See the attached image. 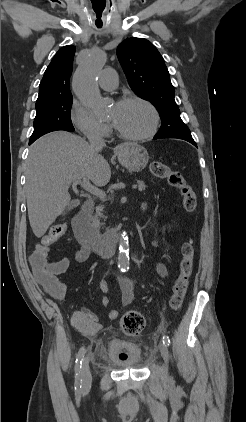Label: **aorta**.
<instances>
[{"instance_id":"aorta-1","label":"aorta","mask_w":246,"mask_h":422,"mask_svg":"<svg viewBox=\"0 0 246 422\" xmlns=\"http://www.w3.org/2000/svg\"><path fill=\"white\" fill-rule=\"evenodd\" d=\"M105 62L106 54L95 50L83 61L73 76V90L76 96L98 116L103 115L106 110L97 86V78ZM118 264L121 268L129 266V241L126 232L121 234L119 240Z\"/></svg>"}]
</instances>
